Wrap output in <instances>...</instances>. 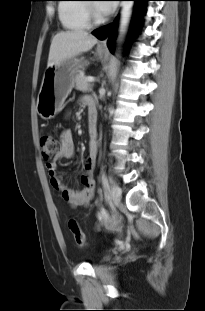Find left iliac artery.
Wrapping results in <instances>:
<instances>
[{"label":"left iliac artery","instance_id":"obj_1","mask_svg":"<svg viewBox=\"0 0 205 311\" xmlns=\"http://www.w3.org/2000/svg\"><path fill=\"white\" fill-rule=\"evenodd\" d=\"M102 182H103L104 188H105V190H106V193H108V192H107V189H108V180H107V177H106L105 174H103Z\"/></svg>","mask_w":205,"mask_h":311}]
</instances>
